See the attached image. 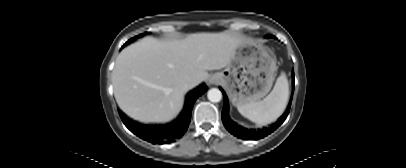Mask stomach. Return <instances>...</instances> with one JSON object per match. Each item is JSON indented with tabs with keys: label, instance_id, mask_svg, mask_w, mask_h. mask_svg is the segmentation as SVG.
Returning a JSON list of instances; mask_svg holds the SVG:
<instances>
[{
	"label": "stomach",
	"instance_id": "obj_1",
	"mask_svg": "<svg viewBox=\"0 0 406 168\" xmlns=\"http://www.w3.org/2000/svg\"><path fill=\"white\" fill-rule=\"evenodd\" d=\"M276 59L266 47L255 42H244L231 62L213 77L227 91L236 107L264 98L274 82Z\"/></svg>",
	"mask_w": 406,
	"mask_h": 168
}]
</instances>
